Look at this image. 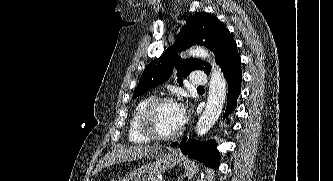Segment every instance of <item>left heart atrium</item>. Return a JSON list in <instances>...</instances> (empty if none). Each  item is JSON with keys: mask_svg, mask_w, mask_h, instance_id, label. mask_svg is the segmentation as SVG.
I'll return each instance as SVG.
<instances>
[{"mask_svg": "<svg viewBox=\"0 0 333 181\" xmlns=\"http://www.w3.org/2000/svg\"><path fill=\"white\" fill-rule=\"evenodd\" d=\"M177 105V119L180 126L184 125L188 119L186 107L183 104Z\"/></svg>", "mask_w": 333, "mask_h": 181, "instance_id": "1", "label": "left heart atrium"}]
</instances>
